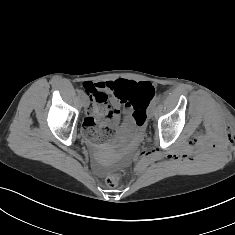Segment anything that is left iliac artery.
I'll return each mask as SVG.
<instances>
[{
	"mask_svg": "<svg viewBox=\"0 0 235 235\" xmlns=\"http://www.w3.org/2000/svg\"><path fill=\"white\" fill-rule=\"evenodd\" d=\"M158 100H159V98L156 97V98L154 99V101H153V104H156V103L158 102Z\"/></svg>",
	"mask_w": 235,
	"mask_h": 235,
	"instance_id": "1",
	"label": "left iliac artery"
}]
</instances>
